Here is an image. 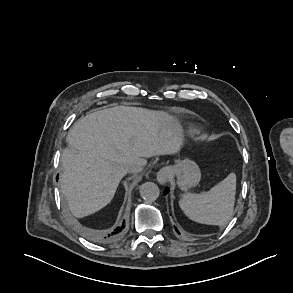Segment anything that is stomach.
Masks as SVG:
<instances>
[{"instance_id":"1","label":"stomach","mask_w":293,"mask_h":293,"mask_svg":"<svg viewBox=\"0 0 293 293\" xmlns=\"http://www.w3.org/2000/svg\"><path fill=\"white\" fill-rule=\"evenodd\" d=\"M170 172L177 177V184L181 190H187L196 186L201 179L199 166L189 158L170 167Z\"/></svg>"}]
</instances>
